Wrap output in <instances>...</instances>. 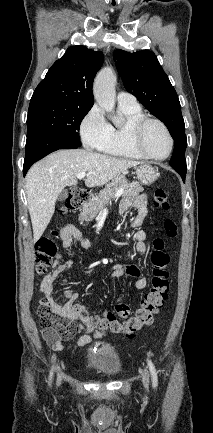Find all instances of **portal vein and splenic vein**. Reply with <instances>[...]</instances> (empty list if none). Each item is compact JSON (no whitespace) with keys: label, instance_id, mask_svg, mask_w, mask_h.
Returning a JSON list of instances; mask_svg holds the SVG:
<instances>
[{"label":"portal vein and splenic vein","instance_id":"1","mask_svg":"<svg viewBox=\"0 0 213 433\" xmlns=\"http://www.w3.org/2000/svg\"><path fill=\"white\" fill-rule=\"evenodd\" d=\"M85 176H87V173L86 172H81V173H78L77 174V178L80 180V179H83ZM123 192H124V189H119L118 191H117V193H116V195H115V198H119L122 194H123Z\"/></svg>","mask_w":213,"mask_h":433}]
</instances>
